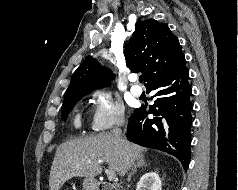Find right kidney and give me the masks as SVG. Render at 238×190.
Returning a JSON list of instances; mask_svg holds the SVG:
<instances>
[{
  "label": "right kidney",
  "instance_id": "1",
  "mask_svg": "<svg viewBox=\"0 0 238 190\" xmlns=\"http://www.w3.org/2000/svg\"><path fill=\"white\" fill-rule=\"evenodd\" d=\"M136 190H162L161 179L156 172L144 174L136 187Z\"/></svg>",
  "mask_w": 238,
  "mask_h": 190
}]
</instances>
